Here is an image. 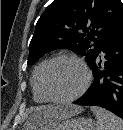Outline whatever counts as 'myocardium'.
Wrapping results in <instances>:
<instances>
[{
    "instance_id": "myocardium-1",
    "label": "myocardium",
    "mask_w": 123,
    "mask_h": 130,
    "mask_svg": "<svg viewBox=\"0 0 123 130\" xmlns=\"http://www.w3.org/2000/svg\"><path fill=\"white\" fill-rule=\"evenodd\" d=\"M60 60H72V61L76 62L78 65H80V67L83 69V71L85 73V80H84L82 87L79 89V91L76 94H74L73 96L68 97V98H59V97L54 96L51 93V91L49 90L48 84H47V77H48V73H49L51 67ZM91 81H92L91 70L80 57H78L75 54H71V53H61V54H58V55L52 57L46 63V65L43 68V71L41 73L40 84H41V90H42L44 96L49 101L59 103V104H67V103H71V102H74L77 99H79L87 91V89L89 88V86L91 84Z\"/></svg>"
}]
</instances>
